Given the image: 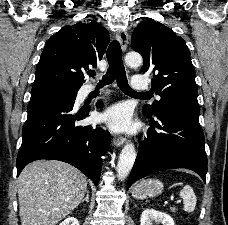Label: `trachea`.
<instances>
[{
	"mask_svg": "<svg viewBox=\"0 0 228 225\" xmlns=\"http://www.w3.org/2000/svg\"><path fill=\"white\" fill-rule=\"evenodd\" d=\"M107 61L109 63V68L107 73L103 76L102 81L98 83V87H103V85H109L117 80V85L122 90V92L131 96H141L142 98H151L147 92H136L128 84L126 77L125 68L122 61V51L120 43L117 40H113L107 49ZM94 72L90 71L88 75L90 77L94 76Z\"/></svg>",
	"mask_w": 228,
	"mask_h": 225,
	"instance_id": "obj_1",
	"label": "trachea"
}]
</instances>
